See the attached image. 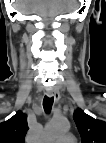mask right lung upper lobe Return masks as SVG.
<instances>
[{"label":"right lung upper lobe","mask_w":106,"mask_h":143,"mask_svg":"<svg viewBox=\"0 0 106 143\" xmlns=\"http://www.w3.org/2000/svg\"><path fill=\"white\" fill-rule=\"evenodd\" d=\"M28 129L26 114L18 111L7 121L0 123V143H24Z\"/></svg>","instance_id":"1"}]
</instances>
